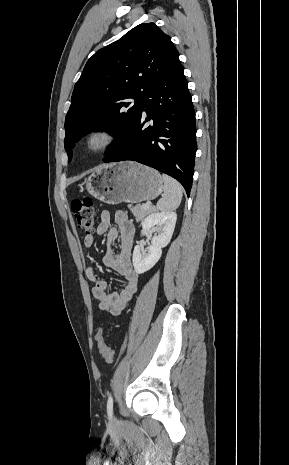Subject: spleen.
Masks as SVG:
<instances>
[{"label": "spleen", "instance_id": "spleen-1", "mask_svg": "<svg viewBox=\"0 0 289 465\" xmlns=\"http://www.w3.org/2000/svg\"><path fill=\"white\" fill-rule=\"evenodd\" d=\"M164 195L157 203V209L160 211L176 210L182 200L183 188L181 184L172 177L163 174Z\"/></svg>", "mask_w": 289, "mask_h": 465}]
</instances>
